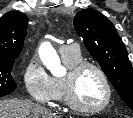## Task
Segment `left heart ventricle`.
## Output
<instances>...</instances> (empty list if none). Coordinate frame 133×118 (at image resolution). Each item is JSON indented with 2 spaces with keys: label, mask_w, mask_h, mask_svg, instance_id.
Returning a JSON list of instances; mask_svg holds the SVG:
<instances>
[{
  "label": "left heart ventricle",
  "mask_w": 133,
  "mask_h": 118,
  "mask_svg": "<svg viewBox=\"0 0 133 118\" xmlns=\"http://www.w3.org/2000/svg\"><path fill=\"white\" fill-rule=\"evenodd\" d=\"M76 98L79 103L87 107H96L104 102L106 89L101 77L93 69H86L79 76Z\"/></svg>",
  "instance_id": "b2bd125f"
}]
</instances>
